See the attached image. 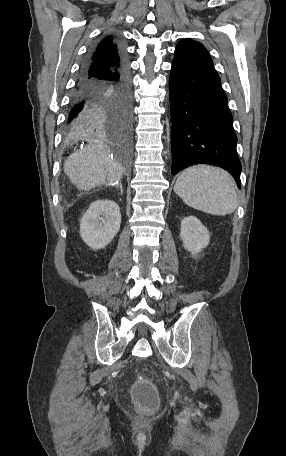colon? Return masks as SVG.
Masks as SVG:
<instances>
[{
	"mask_svg": "<svg viewBox=\"0 0 286 456\" xmlns=\"http://www.w3.org/2000/svg\"><path fill=\"white\" fill-rule=\"evenodd\" d=\"M133 398L136 405L143 410H153L158 404L155 387L146 381H138L134 385Z\"/></svg>",
	"mask_w": 286,
	"mask_h": 456,
	"instance_id": "1",
	"label": "colon"
}]
</instances>
